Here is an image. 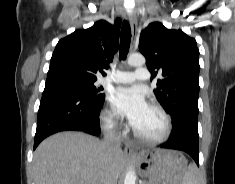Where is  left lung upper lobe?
<instances>
[{
	"mask_svg": "<svg viewBox=\"0 0 235 184\" xmlns=\"http://www.w3.org/2000/svg\"><path fill=\"white\" fill-rule=\"evenodd\" d=\"M139 50L152 75L162 76L154 93L171 115L173 129L182 123L197 128L200 66L195 39L153 22L142 31Z\"/></svg>",
	"mask_w": 235,
	"mask_h": 184,
	"instance_id": "left-lung-upper-lobe-1",
	"label": "left lung upper lobe"
}]
</instances>
